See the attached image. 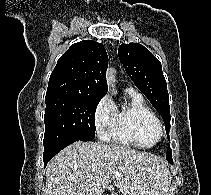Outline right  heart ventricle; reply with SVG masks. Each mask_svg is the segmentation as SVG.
Wrapping results in <instances>:
<instances>
[{"label": "right heart ventricle", "instance_id": "e07e8e85", "mask_svg": "<svg viewBox=\"0 0 211 195\" xmlns=\"http://www.w3.org/2000/svg\"><path fill=\"white\" fill-rule=\"evenodd\" d=\"M129 101L121 109L114 107L111 139L128 147L152 148L158 141L154 128L160 123L141 95L128 92Z\"/></svg>", "mask_w": 211, "mask_h": 195}]
</instances>
